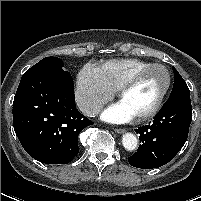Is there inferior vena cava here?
<instances>
[{"instance_id": "inferior-vena-cava-1", "label": "inferior vena cava", "mask_w": 201, "mask_h": 201, "mask_svg": "<svg viewBox=\"0 0 201 201\" xmlns=\"http://www.w3.org/2000/svg\"><path fill=\"white\" fill-rule=\"evenodd\" d=\"M78 107L84 114L90 117L97 115L102 110L100 104L87 101H79Z\"/></svg>"}]
</instances>
